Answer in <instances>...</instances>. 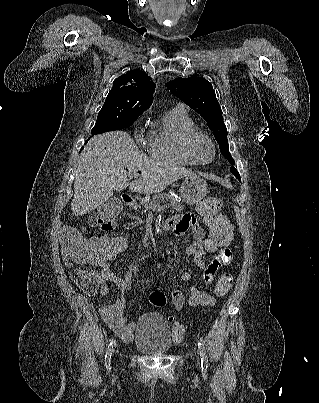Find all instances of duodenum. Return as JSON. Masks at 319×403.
<instances>
[{"instance_id": "obj_1", "label": "duodenum", "mask_w": 319, "mask_h": 403, "mask_svg": "<svg viewBox=\"0 0 319 403\" xmlns=\"http://www.w3.org/2000/svg\"><path fill=\"white\" fill-rule=\"evenodd\" d=\"M122 200L129 209H138L140 207V203L136 200L133 194L131 193H125L122 196ZM172 220L167 219L166 221L163 222L162 224V229L168 230L172 229Z\"/></svg>"}]
</instances>
